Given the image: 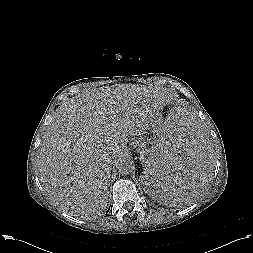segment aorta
<instances>
[{"mask_svg":"<svg viewBox=\"0 0 253 253\" xmlns=\"http://www.w3.org/2000/svg\"><path fill=\"white\" fill-rule=\"evenodd\" d=\"M119 173L122 175H129L135 170V165L133 160L130 158H124L120 161L118 165Z\"/></svg>","mask_w":253,"mask_h":253,"instance_id":"obj_1","label":"aorta"}]
</instances>
